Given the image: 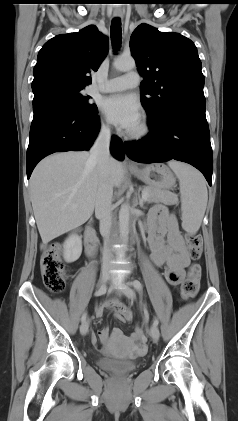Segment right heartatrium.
Here are the masks:
<instances>
[{
    "label": "right heart atrium",
    "instance_id": "d8ad5b80",
    "mask_svg": "<svg viewBox=\"0 0 238 421\" xmlns=\"http://www.w3.org/2000/svg\"><path fill=\"white\" fill-rule=\"evenodd\" d=\"M100 127H101V131H102L103 133H105V134H109V133H110V131H111V128H110L109 123H108L107 121H105V120H102V121H101V125H100Z\"/></svg>",
    "mask_w": 238,
    "mask_h": 421
}]
</instances>
